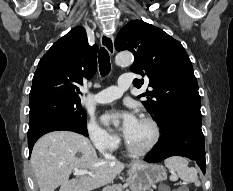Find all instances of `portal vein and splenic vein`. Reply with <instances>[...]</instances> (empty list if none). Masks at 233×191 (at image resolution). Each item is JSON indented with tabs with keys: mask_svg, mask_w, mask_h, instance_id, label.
<instances>
[{
	"mask_svg": "<svg viewBox=\"0 0 233 191\" xmlns=\"http://www.w3.org/2000/svg\"><path fill=\"white\" fill-rule=\"evenodd\" d=\"M85 174H91L88 170H75L74 175L80 176Z\"/></svg>",
	"mask_w": 233,
	"mask_h": 191,
	"instance_id": "1",
	"label": "portal vein and splenic vein"
}]
</instances>
